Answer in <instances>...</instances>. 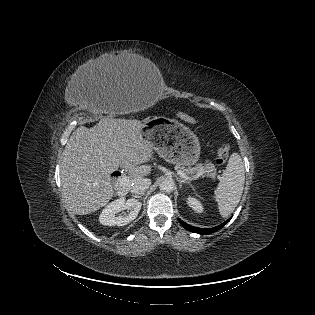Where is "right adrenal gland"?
Listing matches in <instances>:
<instances>
[{
    "label": "right adrenal gland",
    "instance_id": "obj_1",
    "mask_svg": "<svg viewBox=\"0 0 315 315\" xmlns=\"http://www.w3.org/2000/svg\"><path fill=\"white\" fill-rule=\"evenodd\" d=\"M132 197L140 199L142 198V195H132Z\"/></svg>",
    "mask_w": 315,
    "mask_h": 315
}]
</instances>
